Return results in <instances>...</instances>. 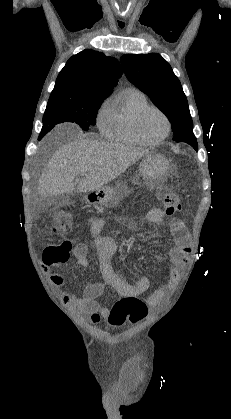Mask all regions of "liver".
I'll return each mask as SVG.
<instances>
[{
	"label": "liver",
	"mask_w": 231,
	"mask_h": 419,
	"mask_svg": "<svg viewBox=\"0 0 231 419\" xmlns=\"http://www.w3.org/2000/svg\"><path fill=\"white\" fill-rule=\"evenodd\" d=\"M149 150L119 143L81 139L57 150L45 166L39 182L44 198L71 193H87L108 184L125 172ZM81 173L85 177L74 181Z\"/></svg>",
	"instance_id": "obj_1"
}]
</instances>
